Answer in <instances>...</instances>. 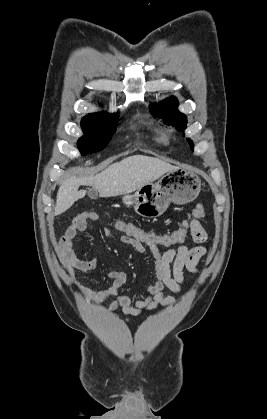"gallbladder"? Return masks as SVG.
<instances>
[{
	"label": "gallbladder",
	"mask_w": 267,
	"mask_h": 419,
	"mask_svg": "<svg viewBox=\"0 0 267 419\" xmlns=\"http://www.w3.org/2000/svg\"><path fill=\"white\" fill-rule=\"evenodd\" d=\"M88 195L92 198L95 199L97 197V191L95 189H89L88 191Z\"/></svg>",
	"instance_id": "obj_1"
}]
</instances>
